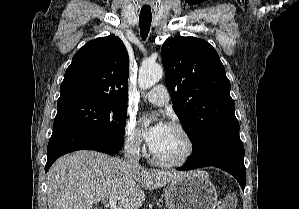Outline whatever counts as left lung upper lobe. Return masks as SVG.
Segmentation results:
<instances>
[{
    "label": "left lung upper lobe",
    "mask_w": 299,
    "mask_h": 209,
    "mask_svg": "<svg viewBox=\"0 0 299 209\" xmlns=\"http://www.w3.org/2000/svg\"><path fill=\"white\" fill-rule=\"evenodd\" d=\"M162 60L174 111L198 150L213 130L237 120L225 68L213 46L195 37L168 39Z\"/></svg>",
    "instance_id": "left-lung-upper-lobe-1"
}]
</instances>
